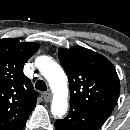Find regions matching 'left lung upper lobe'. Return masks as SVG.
Returning <instances> with one entry per match:
<instances>
[{
	"label": "left lung upper lobe",
	"mask_w": 130,
	"mask_h": 130,
	"mask_svg": "<svg viewBox=\"0 0 130 130\" xmlns=\"http://www.w3.org/2000/svg\"><path fill=\"white\" fill-rule=\"evenodd\" d=\"M58 57L69 79L70 106L90 109L108 118L120 93L113 64L81 46L63 48Z\"/></svg>",
	"instance_id": "obj_1"
}]
</instances>
